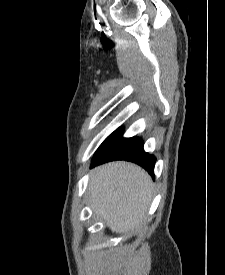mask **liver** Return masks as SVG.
I'll return each instance as SVG.
<instances>
[{
  "label": "liver",
  "mask_w": 225,
  "mask_h": 275,
  "mask_svg": "<svg viewBox=\"0 0 225 275\" xmlns=\"http://www.w3.org/2000/svg\"><path fill=\"white\" fill-rule=\"evenodd\" d=\"M93 212L112 232L127 234L145 219L153 196L151 177L141 167L124 161L94 169L88 185Z\"/></svg>",
  "instance_id": "1"
}]
</instances>
